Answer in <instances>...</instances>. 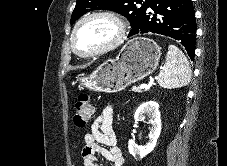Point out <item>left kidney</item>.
<instances>
[{"label": "left kidney", "instance_id": "1", "mask_svg": "<svg viewBox=\"0 0 227 166\" xmlns=\"http://www.w3.org/2000/svg\"><path fill=\"white\" fill-rule=\"evenodd\" d=\"M145 116L149 118V123L151 124L148 143L145 146H139L133 140L128 142L129 153L135 158L137 156L143 158L152 152L161 132L159 104L156 101L142 103L136 110L134 119L135 121H143Z\"/></svg>", "mask_w": 227, "mask_h": 166}]
</instances>
